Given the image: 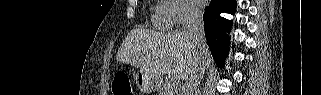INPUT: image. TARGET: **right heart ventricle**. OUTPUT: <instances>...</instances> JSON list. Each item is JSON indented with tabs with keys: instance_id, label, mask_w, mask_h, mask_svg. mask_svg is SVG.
I'll use <instances>...</instances> for the list:
<instances>
[{
	"instance_id": "obj_1",
	"label": "right heart ventricle",
	"mask_w": 321,
	"mask_h": 95,
	"mask_svg": "<svg viewBox=\"0 0 321 95\" xmlns=\"http://www.w3.org/2000/svg\"><path fill=\"white\" fill-rule=\"evenodd\" d=\"M151 22L159 30H169L173 26V23L165 15L161 4L152 8Z\"/></svg>"
}]
</instances>
